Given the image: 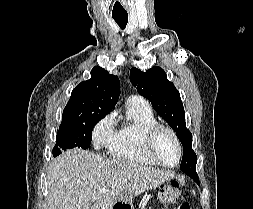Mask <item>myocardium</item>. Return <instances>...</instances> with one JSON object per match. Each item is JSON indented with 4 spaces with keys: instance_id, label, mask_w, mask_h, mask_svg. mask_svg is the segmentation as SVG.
Listing matches in <instances>:
<instances>
[{
    "instance_id": "1",
    "label": "myocardium",
    "mask_w": 253,
    "mask_h": 209,
    "mask_svg": "<svg viewBox=\"0 0 253 209\" xmlns=\"http://www.w3.org/2000/svg\"><path fill=\"white\" fill-rule=\"evenodd\" d=\"M160 131H167L174 139L177 150H178V158L177 161L174 164H166L164 163L154 152V143L156 140V137ZM143 151L145 155L153 161L155 164L161 165L165 168H175L177 167L182 159V145L180 142V139L177 135V133L174 131L173 128H171L168 125L164 124H159L156 123L152 126H150L145 134H144V139H143Z\"/></svg>"
}]
</instances>
